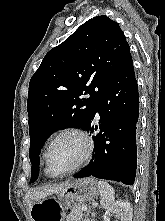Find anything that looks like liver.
I'll return each mask as SVG.
<instances>
[{
  "instance_id": "obj_1",
  "label": "liver",
  "mask_w": 165,
  "mask_h": 221,
  "mask_svg": "<svg viewBox=\"0 0 165 221\" xmlns=\"http://www.w3.org/2000/svg\"><path fill=\"white\" fill-rule=\"evenodd\" d=\"M65 184H62V185L57 186V187H52V188L44 189V190H42L40 192H36V193L29 192L27 194V199L28 198H32L33 196H36L37 198H42V197L48 196L50 194L57 193V192H59L64 187Z\"/></svg>"
}]
</instances>
